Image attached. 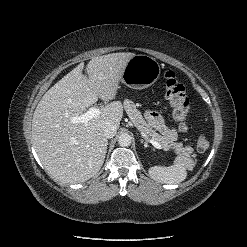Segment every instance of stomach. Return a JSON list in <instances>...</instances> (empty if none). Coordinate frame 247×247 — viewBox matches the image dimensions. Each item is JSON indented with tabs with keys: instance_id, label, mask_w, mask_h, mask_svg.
<instances>
[{
	"instance_id": "1",
	"label": "stomach",
	"mask_w": 247,
	"mask_h": 247,
	"mask_svg": "<svg viewBox=\"0 0 247 247\" xmlns=\"http://www.w3.org/2000/svg\"><path fill=\"white\" fill-rule=\"evenodd\" d=\"M160 73V65L153 57L135 55L128 61L120 82L129 88L141 90L153 85Z\"/></svg>"
}]
</instances>
